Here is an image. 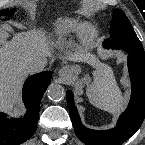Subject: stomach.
Returning <instances> with one entry per match:
<instances>
[{
	"label": "stomach",
	"mask_w": 145,
	"mask_h": 145,
	"mask_svg": "<svg viewBox=\"0 0 145 145\" xmlns=\"http://www.w3.org/2000/svg\"><path fill=\"white\" fill-rule=\"evenodd\" d=\"M70 70H71L73 76L76 77L80 73L81 69H80V67L78 65H73V66H70ZM82 82L83 83H87L88 82L87 78L86 77L83 78Z\"/></svg>",
	"instance_id": "1"
}]
</instances>
